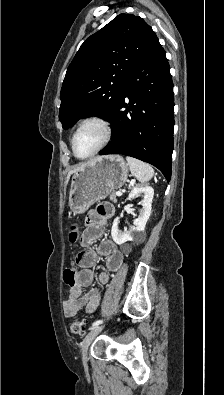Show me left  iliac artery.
Segmentation results:
<instances>
[{
    "mask_svg": "<svg viewBox=\"0 0 224 395\" xmlns=\"http://www.w3.org/2000/svg\"><path fill=\"white\" fill-rule=\"evenodd\" d=\"M102 322H103L102 320H97V321H95V322L92 324L91 328H93V327H95V326H98V325L101 324Z\"/></svg>",
    "mask_w": 224,
    "mask_h": 395,
    "instance_id": "44dca946",
    "label": "left iliac artery"
}]
</instances>
